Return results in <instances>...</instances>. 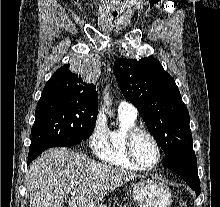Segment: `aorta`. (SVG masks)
Returning a JSON list of instances; mask_svg holds the SVG:
<instances>
[{
    "label": "aorta",
    "mask_w": 220,
    "mask_h": 207,
    "mask_svg": "<svg viewBox=\"0 0 220 207\" xmlns=\"http://www.w3.org/2000/svg\"><path fill=\"white\" fill-rule=\"evenodd\" d=\"M105 96H104V102H105V104H106V106H109V105H111V100H110V98H109V96H108V93L105 91ZM108 114L111 116V114L108 112Z\"/></svg>",
    "instance_id": "obj_1"
}]
</instances>
